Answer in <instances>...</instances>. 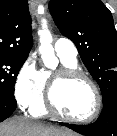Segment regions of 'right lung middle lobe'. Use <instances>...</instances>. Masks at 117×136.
<instances>
[{
	"mask_svg": "<svg viewBox=\"0 0 117 136\" xmlns=\"http://www.w3.org/2000/svg\"><path fill=\"white\" fill-rule=\"evenodd\" d=\"M26 59L0 55V94L14 97V84Z\"/></svg>",
	"mask_w": 117,
	"mask_h": 136,
	"instance_id": "dd1d6c3e",
	"label": "right lung middle lobe"
}]
</instances>
